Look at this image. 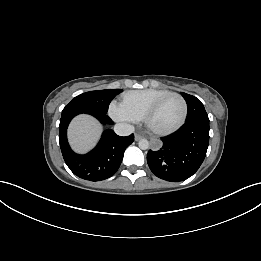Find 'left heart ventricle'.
Returning a JSON list of instances; mask_svg holds the SVG:
<instances>
[{
    "label": "left heart ventricle",
    "instance_id": "1",
    "mask_svg": "<svg viewBox=\"0 0 261 261\" xmlns=\"http://www.w3.org/2000/svg\"><path fill=\"white\" fill-rule=\"evenodd\" d=\"M183 106L179 98L170 97L162 103L152 116L150 124L153 128L165 130L175 126L182 116Z\"/></svg>",
    "mask_w": 261,
    "mask_h": 261
}]
</instances>
